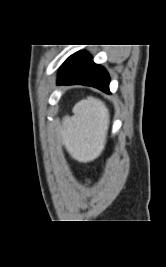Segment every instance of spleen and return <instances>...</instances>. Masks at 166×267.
Wrapping results in <instances>:
<instances>
[{"instance_id":"3e777b00","label":"spleen","mask_w":166,"mask_h":267,"mask_svg":"<svg viewBox=\"0 0 166 267\" xmlns=\"http://www.w3.org/2000/svg\"><path fill=\"white\" fill-rule=\"evenodd\" d=\"M72 117L66 116L61 131L70 155L79 162L96 159L104 149L109 127V112L105 104L87 97L73 109Z\"/></svg>"}]
</instances>
